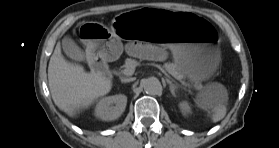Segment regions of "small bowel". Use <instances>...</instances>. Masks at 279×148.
<instances>
[{
	"mask_svg": "<svg viewBox=\"0 0 279 148\" xmlns=\"http://www.w3.org/2000/svg\"><path fill=\"white\" fill-rule=\"evenodd\" d=\"M125 51L130 56L146 59L162 60L166 57L163 50L142 41H130L126 43Z\"/></svg>",
	"mask_w": 279,
	"mask_h": 148,
	"instance_id": "obj_1",
	"label": "small bowel"
}]
</instances>
